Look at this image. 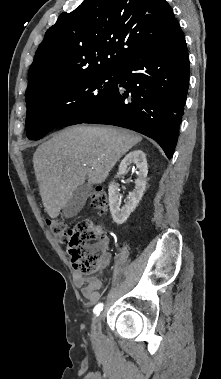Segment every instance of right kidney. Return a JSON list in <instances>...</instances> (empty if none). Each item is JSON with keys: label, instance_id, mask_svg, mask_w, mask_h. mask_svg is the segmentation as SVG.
I'll use <instances>...</instances> for the list:
<instances>
[{"label": "right kidney", "instance_id": "obj_1", "mask_svg": "<svg viewBox=\"0 0 221 379\" xmlns=\"http://www.w3.org/2000/svg\"><path fill=\"white\" fill-rule=\"evenodd\" d=\"M136 165L137 179L135 180V188L130 192L127 199L124 201L125 205L121 207V199L117 193V185L112 181L109 185V206L113 221L119 225L125 223L130 214L136 209L146 188V177L148 173V166L146 156L141 150H134L127 154L121 161L117 175L126 173L128 166Z\"/></svg>", "mask_w": 221, "mask_h": 379}]
</instances>
